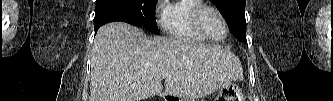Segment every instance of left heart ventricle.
Here are the masks:
<instances>
[{"mask_svg": "<svg viewBox=\"0 0 333 101\" xmlns=\"http://www.w3.org/2000/svg\"><path fill=\"white\" fill-rule=\"evenodd\" d=\"M201 23L206 33L215 39L221 38L224 34V26L219 16L211 11L204 10L201 15Z\"/></svg>", "mask_w": 333, "mask_h": 101, "instance_id": "left-heart-ventricle-1", "label": "left heart ventricle"}]
</instances>
